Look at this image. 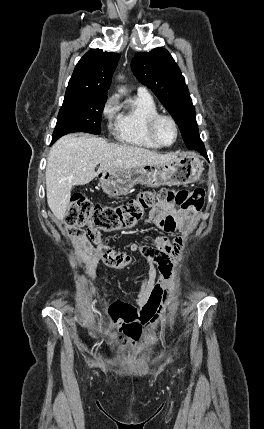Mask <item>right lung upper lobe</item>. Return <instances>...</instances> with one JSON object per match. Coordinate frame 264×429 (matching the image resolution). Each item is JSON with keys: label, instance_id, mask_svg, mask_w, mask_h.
Masks as SVG:
<instances>
[{"label": "right lung upper lobe", "instance_id": "right-lung-upper-lobe-1", "mask_svg": "<svg viewBox=\"0 0 264 429\" xmlns=\"http://www.w3.org/2000/svg\"><path fill=\"white\" fill-rule=\"evenodd\" d=\"M119 58L118 53L88 51L77 63L65 95L107 97Z\"/></svg>", "mask_w": 264, "mask_h": 429}]
</instances>
